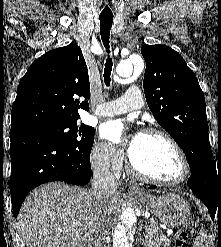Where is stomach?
<instances>
[{"label":"stomach","instance_id":"1","mask_svg":"<svg viewBox=\"0 0 221 247\" xmlns=\"http://www.w3.org/2000/svg\"><path fill=\"white\" fill-rule=\"evenodd\" d=\"M135 199L145 205L163 224L169 227H178L190 215L188 202L176 193H167L161 196L137 194Z\"/></svg>","mask_w":221,"mask_h":247}]
</instances>
